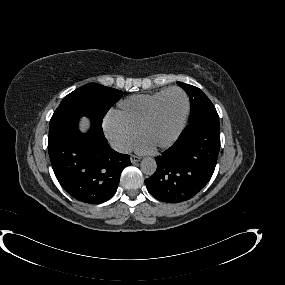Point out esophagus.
Listing matches in <instances>:
<instances>
[{"label": "esophagus", "instance_id": "1", "mask_svg": "<svg viewBox=\"0 0 285 285\" xmlns=\"http://www.w3.org/2000/svg\"><path fill=\"white\" fill-rule=\"evenodd\" d=\"M130 159H131V162L134 164L136 162H139L141 160V157L136 156V155H131Z\"/></svg>", "mask_w": 285, "mask_h": 285}]
</instances>
